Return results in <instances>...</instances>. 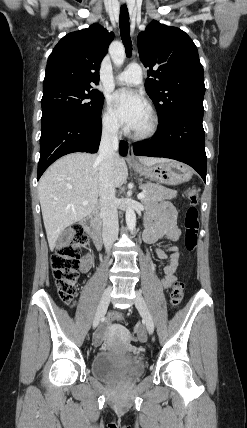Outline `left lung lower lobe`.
<instances>
[{"mask_svg": "<svg viewBox=\"0 0 247 428\" xmlns=\"http://www.w3.org/2000/svg\"><path fill=\"white\" fill-rule=\"evenodd\" d=\"M202 120L203 113L177 111L161 121L156 138L136 143L134 154L181 161L194 168L205 181L207 157Z\"/></svg>", "mask_w": 247, "mask_h": 428, "instance_id": "1", "label": "left lung lower lobe"}]
</instances>
